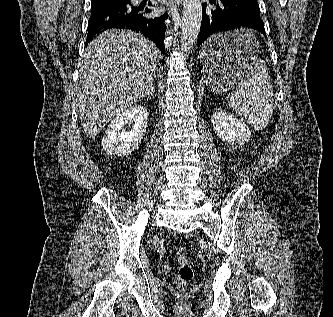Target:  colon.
<instances>
[{"instance_id": "5ec220e1", "label": "colon", "mask_w": 333, "mask_h": 317, "mask_svg": "<svg viewBox=\"0 0 333 317\" xmlns=\"http://www.w3.org/2000/svg\"><path fill=\"white\" fill-rule=\"evenodd\" d=\"M176 258L179 267L175 285L179 290H185L193 280L195 272L192 265L190 264L188 253L184 247L177 248Z\"/></svg>"}]
</instances>
